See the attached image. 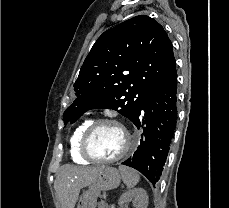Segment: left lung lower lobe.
Returning a JSON list of instances; mask_svg holds the SVG:
<instances>
[{"mask_svg": "<svg viewBox=\"0 0 229 208\" xmlns=\"http://www.w3.org/2000/svg\"><path fill=\"white\" fill-rule=\"evenodd\" d=\"M177 74L146 96L132 122L143 128L140 145L122 164L140 171L154 185L160 179L177 121Z\"/></svg>", "mask_w": 229, "mask_h": 208, "instance_id": "1", "label": "left lung lower lobe"}]
</instances>
